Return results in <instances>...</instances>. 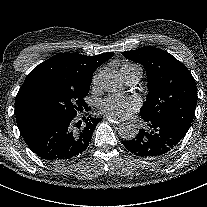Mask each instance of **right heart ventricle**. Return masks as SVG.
<instances>
[{
	"label": "right heart ventricle",
	"mask_w": 207,
	"mask_h": 207,
	"mask_svg": "<svg viewBox=\"0 0 207 207\" xmlns=\"http://www.w3.org/2000/svg\"><path fill=\"white\" fill-rule=\"evenodd\" d=\"M131 67H134V66H132L130 64H124L121 68V71L124 70V69H127V68H131Z\"/></svg>",
	"instance_id": "right-heart-ventricle-1"
}]
</instances>
